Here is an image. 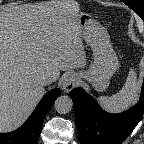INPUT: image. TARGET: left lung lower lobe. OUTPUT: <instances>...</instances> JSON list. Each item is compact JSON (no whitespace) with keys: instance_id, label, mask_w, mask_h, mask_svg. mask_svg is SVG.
<instances>
[{"instance_id":"0a47b994","label":"left lung lower lobe","mask_w":144,"mask_h":144,"mask_svg":"<svg viewBox=\"0 0 144 144\" xmlns=\"http://www.w3.org/2000/svg\"><path fill=\"white\" fill-rule=\"evenodd\" d=\"M70 96L82 144H120L131 134L144 114V82L138 104L120 114L103 111L82 88H74Z\"/></svg>"}]
</instances>
